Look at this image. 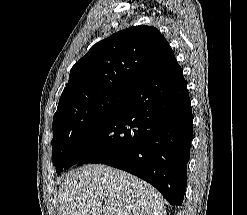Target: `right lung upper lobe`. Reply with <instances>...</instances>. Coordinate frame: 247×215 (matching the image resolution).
Here are the masks:
<instances>
[{"mask_svg":"<svg viewBox=\"0 0 247 215\" xmlns=\"http://www.w3.org/2000/svg\"><path fill=\"white\" fill-rule=\"evenodd\" d=\"M172 54L169 43L154 27L140 25L121 30L93 45L72 67L60 100L70 93L133 92Z\"/></svg>","mask_w":247,"mask_h":215,"instance_id":"right-lung-upper-lobe-1","label":"right lung upper lobe"}]
</instances>
